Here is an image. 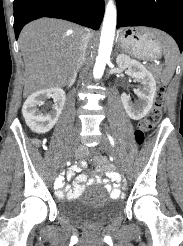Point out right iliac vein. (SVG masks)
<instances>
[{
	"mask_svg": "<svg viewBox=\"0 0 183 246\" xmlns=\"http://www.w3.org/2000/svg\"><path fill=\"white\" fill-rule=\"evenodd\" d=\"M79 131H80V127L76 126L74 128L72 134H71L70 142H69V152H67V154H66V160H67V158L69 157V155L71 154L73 148L76 145V141L78 139Z\"/></svg>",
	"mask_w": 183,
	"mask_h": 246,
	"instance_id": "right-iliac-vein-1",
	"label": "right iliac vein"
}]
</instances>
